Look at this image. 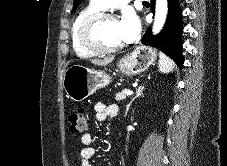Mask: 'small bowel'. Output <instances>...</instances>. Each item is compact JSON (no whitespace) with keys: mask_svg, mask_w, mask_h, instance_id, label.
<instances>
[{"mask_svg":"<svg viewBox=\"0 0 227 166\" xmlns=\"http://www.w3.org/2000/svg\"><path fill=\"white\" fill-rule=\"evenodd\" d=\"M96 118L99 121H104L108 118H113L118 114V106L116 104L105 105L103 103L95 104ZM81 142L84 148L80 154V166H92L91 159L95 155V149L92 146L93 137L90 133H84L81 136Z\"/></svg>","mask_w":227,"mask_h":166,"instance_id":"obj_1","label":"small bowel"}]
</instances>
